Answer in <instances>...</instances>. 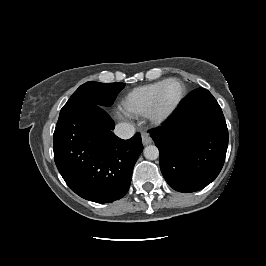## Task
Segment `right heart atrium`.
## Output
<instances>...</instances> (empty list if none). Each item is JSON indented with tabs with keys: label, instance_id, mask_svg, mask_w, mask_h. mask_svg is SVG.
<instances>
[{
	"label": "right heart atrium",
	"instance_id": "right-heart-atrium-1",
	"mask_svg": "<svg viewBox=\"0 0 266 266\" xmlns=\"http://www.w3.org/2000/svg\"><path fill=\"white\" fill-rule=\"evenodd\" d=\"M118 116H119L120 118H124V117H126L127 115H126V114H123V113H122V114L119 113Z\"/></svg>",
	"mask_w": 266,
	"mask_h": 266
}]
</instances>
